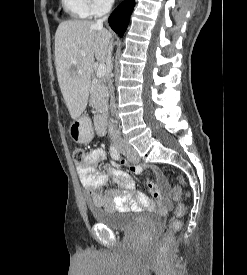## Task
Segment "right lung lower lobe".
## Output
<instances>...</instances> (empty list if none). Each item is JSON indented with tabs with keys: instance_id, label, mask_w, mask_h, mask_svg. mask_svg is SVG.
<instances>
[{
	"instance_id": "right-lung-lower-lobe-1",
	"label": "right lung lower lobe",
	"mask_w": 247,
	"mask_h": 275,
	"mask_svg": "<svg viewBox=\"0 0 247 275\" xmlns=\"http://www.w3.org/2000/svg\"><path fill=\"white\" fill-rule=\"evenodd\" d=\"M134 5L135 0H125L109 17V25L120 37L126 31Z\"/></svg>"
}]
</instances>
